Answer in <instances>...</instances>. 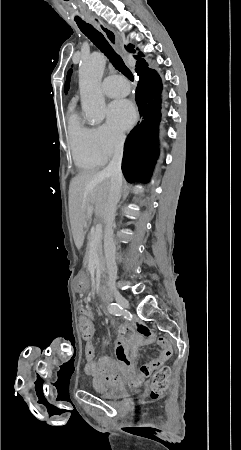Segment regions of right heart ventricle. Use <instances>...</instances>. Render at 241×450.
Listing matches in <instances>:
<instances>
[{"instance_id": "1", "label": "right heart ventricle", "mask_w": 241, "mask_h": 450, "mask_svg": "<svg viewBox=\"0 0 241 450\" xmlns=\"http://www.w3.org/2000/svg\"><path fill=\"white\" fill-rule=\"evenodd\" d=\"M95 129L85 126L78 115L71 114L68 118V140L75 164L80 168H95L102 166L106 159L95 151L91 133ZM97 140L99 136L97 134Z\"/></svg>"}]
</instances>
